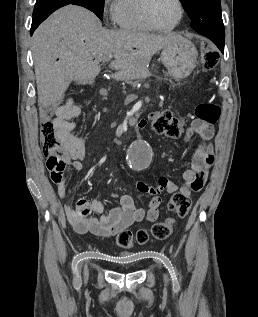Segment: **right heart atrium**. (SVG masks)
<instances>
[{
    "mask_svg": "<svg viewBox=\"0 0 258 317\" xmlns=\"http://www.w3.org/2000/svg\"><path fill=\"white\" fill-rule=\"evenodd\" d=\"M103 15L110 26L118 24V0H106L103 3Z\"/></svg>",
    "mask_w": 258,
    "mask_h": 317,
    "instance_id": "d8ad5b80",
    "label": "right heart atrium"
}]
</instances>
